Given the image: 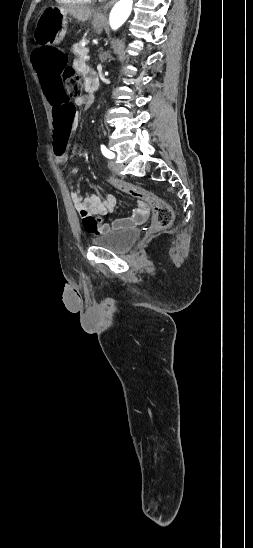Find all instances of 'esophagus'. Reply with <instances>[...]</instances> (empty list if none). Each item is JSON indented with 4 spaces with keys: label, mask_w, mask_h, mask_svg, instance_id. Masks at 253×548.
I'll list each match as a JSON object with an SVG mask.
<instances>
[{
    "label": "esophagus",
    "mask_w": 253,
    "mask_h": 548,
    "mask_svg": "<svg viewBox=\"0 0 253 548\" xmlns=\"http://www.w3.org/2000/svg\"><path fill=\"white\" fill-rule=\"evenodd\" d=\"M117 0H110L106 5H104L103 7L99 8L96 12V16L97 17H103L104 14L107 12V10L113 6V4L116 2Z\"/></svg>",
    "instance_id": "obj_1"
}]
</instances>
